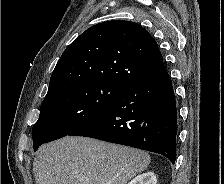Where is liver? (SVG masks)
I'll list each match as a JSON object with an SVG mask.
<instances>
[{"label":"liver","instance_id":"obj_1","mask_svg":"<svg viewBox=\"0 0 224 184\" xmlns=\"http://www.w3.org/2000/svg\"><path fill=\"white\" fill-rule=\"evenodd\" d=\"M149 164L144 151L66 136L39 148L33 173L37 184H127Z\"/></svg>","mask_w":224,"mask_h":184}]
</instances>
